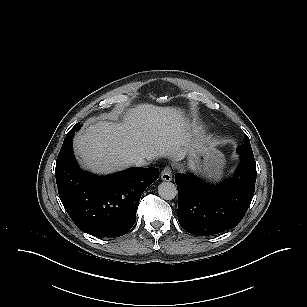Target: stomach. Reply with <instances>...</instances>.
<instances>
[{
  "label": "stomach",
  "mask_w": 307,
  "mask_h": 307,
  "mask_svg": "<svg viewBox=\"0 0 307 307\" xmlns=\"http://www.w3.org/2000/svg\"><path fill=\"white\" fill-rule=\"evenodd\" d=\"M224 164V156L218 150L211 149L205 152H197L192 149L189 152V165L208 178L218 180L223 173Z\"/></svg>",
  "instance_id": "obj_1"
}]
</instances>
